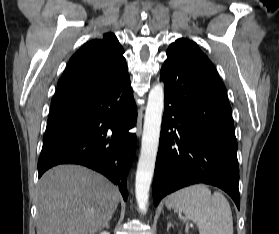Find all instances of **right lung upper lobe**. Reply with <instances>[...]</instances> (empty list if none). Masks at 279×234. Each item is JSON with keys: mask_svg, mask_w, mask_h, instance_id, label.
I'll return each mask as SVG.
<instances>
[{"mask_svg": "<svg viewBox=\"0 0 279 234\" xmlns=\"http://www.w3.org/2000/svg\"><path fill=\"white\" fill-rule=\"evenodd\" d=\"M123 53L113 33L85 43L70 58L51 102L97 89L126 73Z\"/></svg>", "mask_w": 279, "mask_h": 234, "instance_id": "1", "label": "right lung upper lobe"}]
</instances>
